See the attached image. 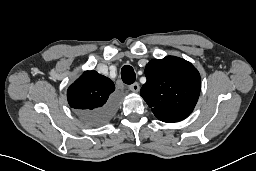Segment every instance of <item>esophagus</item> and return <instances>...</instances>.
<instances>
[{"label":"esophagus","instance_id":"34e87169","mask_svg":"<svg viewBox=\"0 0 256 171\" xmlns=\"http://www.w3.org/2000/svg\"><path fill=\"white\" fill-rule=\"evenodd\" d=\"M129 89H130L132 92L137 93V92H139V90H140V86H139L138 83H133V84H131V85L129 86Z\"/></svg>","mask_w":256,"mask_h":171}]
</instances>
